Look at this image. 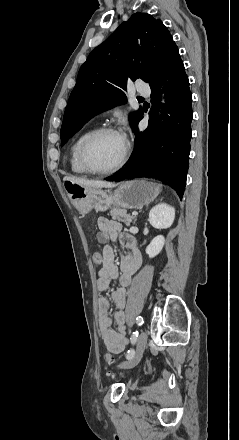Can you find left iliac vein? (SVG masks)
Returning <instances> with one entry per match:
<instances>
[{"mask_svg": "<svg viewBox=\"0 0 239 440\" xmlns=\"http://www.w3.org/2000/svg\"><path fill=\"white\" fill-rule=\"evenodd\" d=\"M147 344V334L145 332H141L136 345V354L129 361L121 363L120 368H132L139 363L144 353L145 347Z\"/></svg>", "mask_w": 239, "mask_h": 440, "instance_id": "obj_1", "label": "left iliac vein"}]
</instances>
